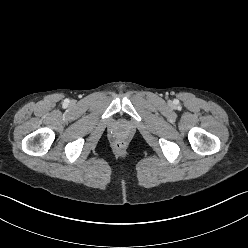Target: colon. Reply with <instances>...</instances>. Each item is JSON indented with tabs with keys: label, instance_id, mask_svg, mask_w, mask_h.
Instances as JSON below:
<instances>
[{
	"label": "colon",
	"instance_id": "obj_1",
	"mask_svg": "<svg viewBox=\"0 0 248 248\" xmlns=\"http://www.w3.org/2000/svg\"><path fill=\"white\" fill-rule=\"evenodd\" d=\"M115 147L116 149L118 150H122L125 148V142L123 140H118L116 143H115Z\"/></svg>",
	"mask_w": 248,
	"mask_h": 248
}]
</instances>
